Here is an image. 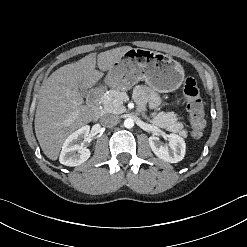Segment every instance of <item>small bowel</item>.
I'll return each mask as SVG.
<instances>
[{"mask_svg":"<svg viewBox=\"0 0 247 247\" xmlns=\"http://www.w3.org/2000/svg\"><path fill=\"white\" fill-rule=\"evenodd\" d=\"M134 97L140 108H144L149 104L152 108L161 105L160 97L148 87L140 85L135 88Z\"/></svg>","mask_w":247,"mask_h":247,"instance_id":"c3829d8e","label":"small bowel"}]
</instances>
